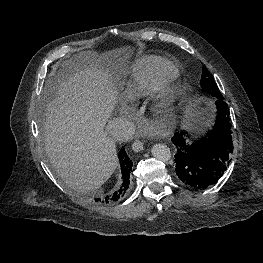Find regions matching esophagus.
Masks as SVG:
<instances>
[{"instance_id": "34e87169", "label": "esophagus", "mask_w": 263, "mask_h": 263, "mask_svg": "<svg viewBox=\"0 0 263 263\" xmlns=\"http://www.w3.org/2000/svg\"><path fill=\"white\" fill-rule=\"evenodd\" d=\"M134 152H140L143 150V142L140 139H136L132 144Z\"/></svg>"}]
</instances>
